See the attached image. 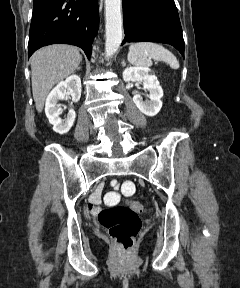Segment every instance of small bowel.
Here are the masks:
<instances>
[{
	"instance_id": "1",
	"label": "small bowel",
	"mask_w": 240,
	"mask_h": 288,
	"mask_svg": "<svg viewBox=\"0 0 240 288\" xmlns=\"http://www.w3.org/2000/svg\"><path fill=\"white\" fill-rule=\"evenodd\" d=\"M115 189H118V184L117 183H113ZM101 188H98L97 191L92 195V199H91V205H90V210L92 212H95L97 210V205L100 204V198H101Z\"/></svg>"
}]
</instances>
